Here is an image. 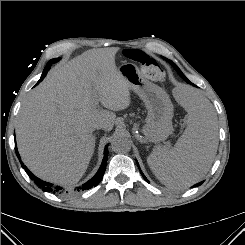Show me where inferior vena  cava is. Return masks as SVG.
<instances>
[{"label":"inferior vena cava","instance_id":"inferior-vena-cava-1","mask_svg":"<svg viewBox=\"0 0 245 245\" xmlns=\"http://www.w3.org/2000/svg\"><path fill=\"white\" fill-rule=\"evenodd\" d=\"M95 129H103L104 128V125L103 124H96L94 126Z\"/></svg>","mask_w":245,"mask_h":245}]
</instances>
